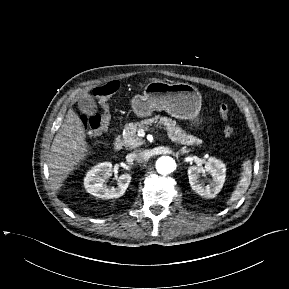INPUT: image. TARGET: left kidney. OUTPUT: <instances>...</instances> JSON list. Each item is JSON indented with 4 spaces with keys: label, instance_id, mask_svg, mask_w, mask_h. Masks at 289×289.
Listing matches in <instances>:
<instances>
[{
    "label": "left kidney",
    "instance_id": "1",
    "mask_svg": "<svg viewBox=\"0 0 289 289\" xmlns=\"http://www.w3.org/2000/svg\"><path fill=\"white\" fill-rule=\"evenodd\" d=\"M206 174H210L212 177L207 182L201 179V176H206ZM225 177V164L215 157H210L204 167L191 166L188 168L191 188L205 198H214L221 191Z\"/></svg>",
    "mask_w": 289,
    "mask_h": 289
}]
</instances>
